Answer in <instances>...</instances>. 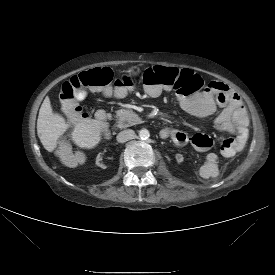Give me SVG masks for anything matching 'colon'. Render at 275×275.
Listing matches in <instances>:
<instances>
[{
    "label": "colon",
    "mask_w": 275,
    "mask_h": 275,
    "mask_svg": "<svg viewBox=\"0 0 275 275\" xmlns=\"http://www.w3.org/2000/svg\"><path fill=\"white\" fill-rule=\"evenodd\" d=\"M126 81V79L123 78ZM204 83L193 71L172 67L155 66L145 70L143 77L135 83L121 82L114 78L111 69L107 67L80 72L66 80L60 90L59 98L63 103L70 105L73 112V121L78 122L85 115L79 112L75 100H85L90 95V90L98 89L99 92L113 99H128L137 101L142 92L150 97H157L162 89H167L179 95H193L199 92ZM221 153L231 157L236 153V143L232 138L222 141Z\"/></svg>",
    "instance_id": "colon-1"
}]
</instances>
